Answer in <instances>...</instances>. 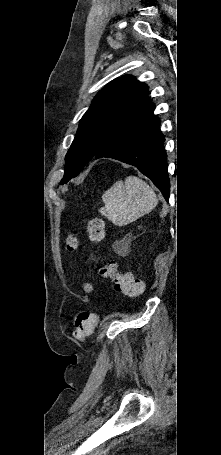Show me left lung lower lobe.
Returning <instances> with one entry per match:
<instances>
[{
  "instance_id": "0a47b994",
  "label": "left lung lower lobe",
  "mask_w": 221,
  "mask_h": 455,
  "mask_svg": "<svg viewBox=\"0 0 221 455\" xmlns=\"http://www.w3.org/2000/svg\"><path fill=\"white\" fill-rule=\"evenodd\" d=\"M150 111L110 140L95 159L108 157L133 165L146 175L169 200L170 183L164 136L159 130L160 119Z\"/></svg>"
}]
</instances>
